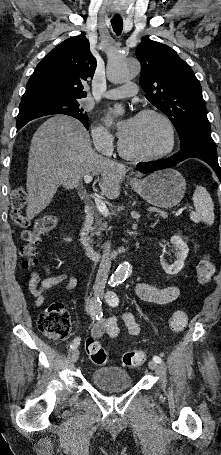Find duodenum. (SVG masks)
I'll list each match as a JSON object with an SVG mask.
<instances>
[{"label": "duodenum", "instance_id": "410a0bca", "mask_svg": "<svg viewBox=\"0 0 221 455\" xmlns=\"http://www.w3.org/2000/svg\"><path fill=\"white\" fill-rule=\"evenodd\" d=\"M93 221H94V212L92 211L91 208L88 207L85 211L84 222L78 233V241H79L81 247L83 248V250L85 251V253L89 257L94 258V259H99L101 257V253L97 249H95V247L91 243L89 236H88V232H89V229H90ZM121 252H123V248H118L111 253L110 257L115 258Z\"/></svg>", "mask_w": 221, "mask_h": 455}]
</instances>
